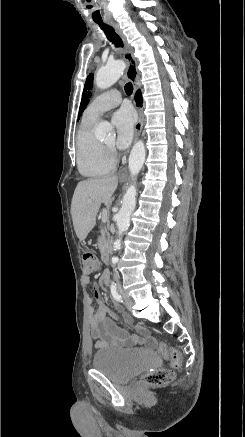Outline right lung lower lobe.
Here are the masks:
<instances>
[{
	"instance_id": "1",
	"label": "right lung lower lobe",
	"mask_w": 245,
	"mask_h": 437,
	"mask_svg": "<svg viewBox=\"0 0 245 437\" xmlns=\"http://www.w3.org/2000/svg\"><path fill=\"white\" fill-rule=\"evenodd\" d=\"M135 101L137 102L138 106L142 105V96L140 94V91L138 90L135 94Z\"/></svg>"
}]
</instances>
